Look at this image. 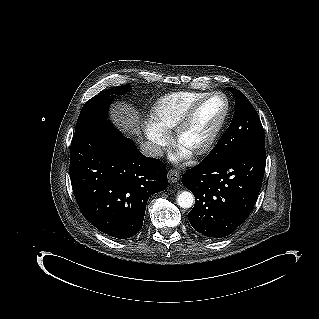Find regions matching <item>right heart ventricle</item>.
<instances>
[{
    "instance_id": "e07e8e85",
    "label": "right heart ventricle",
    "mask_w": 319,
    "mask_h": 319,
    "mask_svg": "<svg viewBox=\"0 0 319 319\" xmlns=\"http://www.w3.org/2000/svg\"><path fill=\"white\" fill-rule=\"evenodd\" d=\"M205 93L197 91H180L161 97L152 108L151 118L163 130L175 128L188 110Z\"/></svg>"
}]
</instances>
